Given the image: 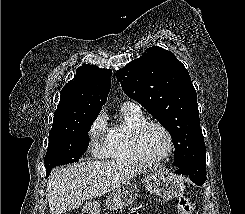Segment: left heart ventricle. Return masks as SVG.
<instances>
[{"label":"left heart ventricle","mask_w":245,"mask_h":214,"mask_svg":"<svg viewBox=\"0 0 245 214\" xmlns=\"http://www.w3.org/2000/svg\"><path fill=\"white\" fill-rule=\"evenodd\" d=\"M141 147L149 159H157L165 154L168 148L166 135L157 127L147 128L141 137Z\"/></svg>","instance_id":"obj_1"}]
</instances>
